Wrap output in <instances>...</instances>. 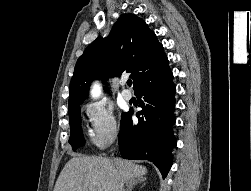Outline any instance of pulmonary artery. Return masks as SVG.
Listing matches in <instances>:
<instances>
[{"mask_svg": "<svg viewBox=\"0 0 251 191\" xmlns=\"http://www.w3.org/2000/svg\"><path fill=\"white\" fill-rule=\"evenodd\" d=\"M126 83H127V80L125 78L120 79L119 84L122 87L121 94L124 99L130 100L133 97V94L129 89L126 88Z\"/></svg>", "mask_w": 251, "mask_h": 191, "instance_id": "e3ab8cb5", "label": "pulmonary artery"}]
</instances>
